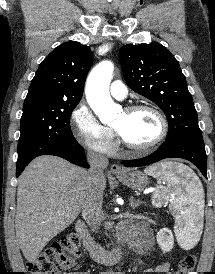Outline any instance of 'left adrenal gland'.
<instances>
[{
	"label": "left adrenal gland",
	"instance_id": "1",
	"mask_svg": "<svg viewBox=\"0 0 215 274\" xmlns=\"http://www.w3.org/2000/svg\"><path fill=\"white\" fill-rule=\"evenodd\" d=\"M140 204H141L140 201H136L133 197H131V199H130V206L132 207V209H135Z\"/></svg>",
	"mask_w": 215,
	"mask_h": 274
}]
</instances>
